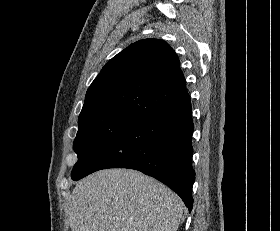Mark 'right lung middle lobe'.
<instances>
[{"label":"right lung middle lobe","instance_id":"obj_1","mask_svg":"<svg viewBox=\"0 0 280 231\" xmlns=\"http://www.w3.org/2000/svg\"><path fill=\"white\" fill-rule=\"evenodd\" d=\"M138 122L120 117L79 119L73 143L78 161L73 167L71 178L79 175L107 145Z\"/></svg>","mask_w":280,"mask_h":231}]
</instances>
